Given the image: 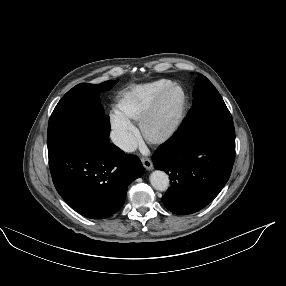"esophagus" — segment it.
<instances>
[{"mask_svg": "<svg viewBox=\"0 0 286 286\" xmlns=\"http://www.w3.org/2000/svg\"><path fill=\"white\" fill-rule=\"evenodd\" d=\"M141 162H142V164L146 170H152L153 169V163L149 158L142 157Z\"/></svg>", "mask_w": 286, "mask_h": 286, "instance_id": "obj_1", "label": "esophagus"}]
</instances>
